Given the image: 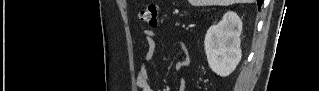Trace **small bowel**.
<instances>
[{"mask_svg": "<svg viewBox=\"0 0 319 91\" xmlns=\"http://www.w3.org/2000/svg\"><path fill=\"white\" fill-rule=\"evenodd\" d=\"M143 38L146 45V56L142 64L137 70L136 73V85L142 90V91H154L150 84V69L149 64L151 63L154 54L156 52V42H155V33L151 30H145L143 32ZM181 52L183 53V58L175 62L174 64V70L179 71L182 68L188 66L189 64V57H188V47L184 43H180L179 45ZM177 90L178 91H184L186 80L184 77L179 78L177 82Z\"/></svg>", "mask_w": 319, "mask_h": 91, "instance_id": "obj_1", "label": "small bowel"}]
</instances>
